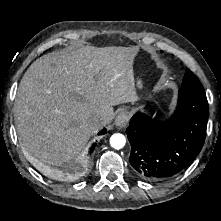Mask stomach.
<instances>
[{
	"label": "stomach",
	"instance_id": "stomach-1",
	"mask_svg": "<svg viewBox=\"0 0 221 221\" xmlns=\"http://www.w3.org/2000/svg\"><path fill=\"white\" fill-rule=\"evenodd\" d=\"M142 81L141 80H138L137 81V87L139 88V89H141L142 88Z\"/></svg>",
	"mask_w": 221,
	"mask_h": 221
}]
</instances>
